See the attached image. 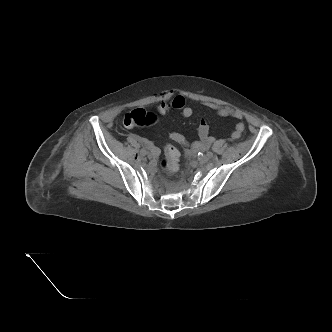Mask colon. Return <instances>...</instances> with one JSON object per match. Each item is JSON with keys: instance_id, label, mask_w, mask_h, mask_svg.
<instances>
[{"instance_id": "5ec220e1", "label": "colon", "mask_w": 332, "mask_h": 332, "mask_svg": "<svg viewBox=\"0 0 332 332\" xmlns=\"http://www.w3.org/2000/svg\"><path fill=\"white\" fill-rule=\"evenodd\" d=\"M156 117L143 109H135L127 113L124 117V125L127 127L145 126L154 123ZM180 153L173 145H166L165 158L162 160V167L167 172H176L179 168Z\"/></svg>"}]
</instances>
